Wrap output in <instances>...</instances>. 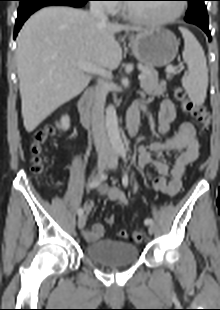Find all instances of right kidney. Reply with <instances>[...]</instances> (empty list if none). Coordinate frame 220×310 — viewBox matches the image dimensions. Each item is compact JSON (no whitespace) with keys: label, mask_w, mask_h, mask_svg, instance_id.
I'll use <instances>...</instances> for the list:
<instances>
[{"label":"right kidney","mask_w":220,"mask_h":310,"mask_svg":"<svg viewBox=\"0 0 220 310\" xmlns=\"http://www.w3.org/2000/svg\"><path fill=\"white\" fill-rule=\"evenodd\" d=\"M61 124L64 130H67L70 126V118L68 115L62 116Z\"/></svg>","instance_id":"ca27d5eb"}]
</instances>
